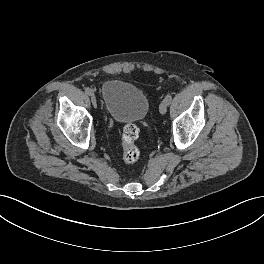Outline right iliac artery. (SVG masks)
Listing matches in <instances>:
<instances>
[{
    "instance_id": "1",
    "label": "right iliac artery",
    "mask_w": 264,
    "mask_h": 264,
    "mask_svg": "<svg viewBox=\"0 0 264 264\" xmlns=\"http://www.w3.org/2000/svg\"><path fill=\"white\" fill-rule=\"evenodd\" d=\"M85 93L90 95L92 93V90L90 88H85Z\"/></svg>"
}]
</instances>
